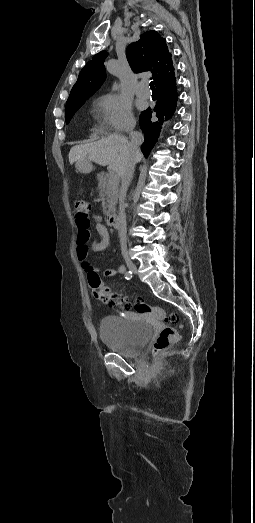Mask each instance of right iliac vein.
<instances>
[{"label": "right iliac vein", "mask_w": 255, "mask_h": 523, "mask_svg": "<svg viewBox=\"0 0 255 523\" xmlns=\"http://www.w3.org/2000/svg\"><path fill=\"white\" fill-rule=\"evenodd\" d=\"M125 261H126V264H127V267L129 268V270L131 272H133V273H137V266H136V264L132 260H130L129 258H126Z\"/></svg>", "instance_id": "63e3f726"}]
</instances>
